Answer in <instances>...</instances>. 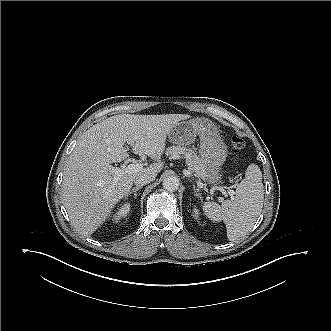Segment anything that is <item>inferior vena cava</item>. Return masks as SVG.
<instances>
[{
    "label": "inferior vena cava",
    "instance_id": "inferior-vena-cava-1",
    "mask_svg": "<svg viewBox=\"0 0 331 331\" xmlns=\"http://www.w3.org/2000/svg\"><path fill=\"white\" fill-rule=\"evenodd\" d=\"M154 179L155 178L148 176V175H140V176L136 177V179L134 180V183L136 186L141 187L143 185L150 183Z\"/></svg>",
    "mask_w": 331,
    "mask_h": 331
}]
</instances>
